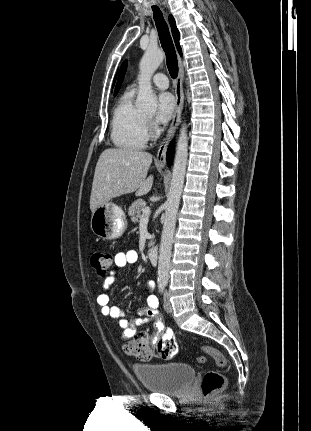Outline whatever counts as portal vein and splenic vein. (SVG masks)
<instances>
[{"label":"portal vein and splenic vein","instance_id":"portal-vein-and-splenic-vein-1","mask_svg":"<svg viewBox=\"0 0 311 431\" xmlns=\"http://www.w3.org/2000/svg\"><path fill=\"white\" fill-rule=\"evenodd\" d=\"M151 214V208H144L141 217H149Z\"/></svg>","mask_w":311,"mask_h":431}]
</instances>
